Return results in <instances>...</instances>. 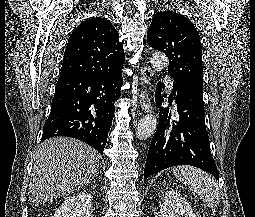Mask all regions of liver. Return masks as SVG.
<instances>
[{
  "mask_svg": "<svg viewBox=\"0 0 255 217\" xmlns=\"http://www.w3.org/2000/svg\"><path fill=\"white\" fill-rule=\"evenodd\" d=\"M33 161L28 193L35 206L83 187L99 168L97 151L68 137L45 140L36 148Z\"/></svg>",
  "mask_w": 255,
  "mask_h": 217,
  "instance_id": "6515ba94",
  "label": "liver"
}]
</instances>
